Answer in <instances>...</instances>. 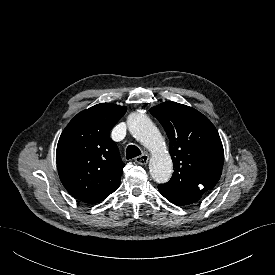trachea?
<instances>
[{
    "mask_svg": "<svg viewBox=\"0 0 275 275\" xmlns=\"http://www.w3.org/2000/svg\"><path fill=\"white\" fill-rule=\"evenodd\" d=\"M141 155L140 149L135 145H129L126 150V159H132Z\"/></svg>",
    "mask_w": 275,
    "mask_h": 275,
    "instance_id": "trachea-1",
    "label": "trachea"
}]
</instances>
